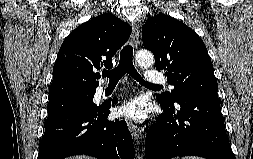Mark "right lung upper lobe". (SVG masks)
<instances>
[{"instance_id":"cb5924a9","label":"right lung upper lobe","mask_w":253,"mask_h":159,"mask_svg":"<svg viewBox=\"0 0 253 159\" xmlns=\"http://www.w3.org/2000/svg\"><path fill=\"white\" fill-rule=\"evenodd\" d=\"M132 28L111 13H103L81 24L62 43L53 67L49 101L96 91L102 67L128 40Z\"/></svg>"}]
</instances>
